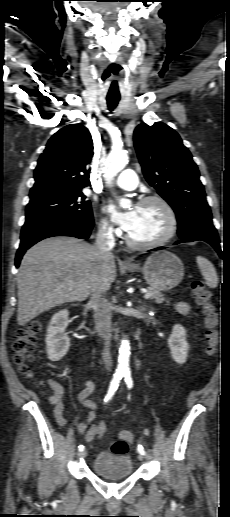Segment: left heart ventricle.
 Masks as SVG:
<instances>
[{
  "instance_id": "b2bd125f",
  "label": "left heart ventricle",
  "mask_w": 230,
  "mask_h": 517,
  "mask_svg": "<svg viewBox=\"0 0 230 517\" xmlns=\"http://www.w3.org/2000/svg\"><path fill=\"white\" fill-rule=\"evenodd\" d=\"M137 218L128 232L138 242H149L163 235L167 228V217L157 203H149L136 207Z\"/></svg>"
}]
</instances>
